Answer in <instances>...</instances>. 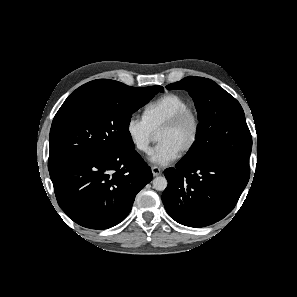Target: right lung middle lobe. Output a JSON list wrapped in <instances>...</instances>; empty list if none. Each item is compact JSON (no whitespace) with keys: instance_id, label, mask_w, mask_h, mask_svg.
Instances as JSON below:
<instances>
[{"instance_id":"right-lung-middle-lobe-1","label":"right lung middle lobe","mask_w":297,"mask_h":297,"mask_svg":"<svg viewBox=\"0 0 297 297\" xmlns=\"http://www.w3.org/2000/svg\"><path fill=\"white\" fill-rule=\"evenodd\" d=\"M96 93L65 100L50 130L48 169L80 156L135 149L129 132L132 113L162 86L130 87L100 80Z\"/></svg>"}]
</instances>
